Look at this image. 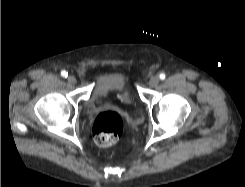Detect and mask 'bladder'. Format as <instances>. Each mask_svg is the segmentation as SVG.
Wrapping results in <instances>:
<instances>
[{"label":"bladder","instance_id":"31cf9c89","mask_svg":"<svg viewBox=\"0 0 245 187\" xmlns=\"http://www.w3.org/2000/svg\"><path fill=\"white\" fill-rule=\"evenodd\" d=\"M125 88L126 83L124 77L119 73L112 74L105 77L101 82L96 85L94 96L91 100L92 102H94L100 96H106L111 91L124 90Z\"/></svg>","mask_w":245,"mask_h":187}]
</instances>
